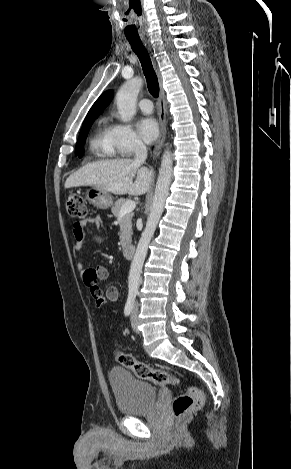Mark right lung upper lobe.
Here are the masks:
<instances>
[{
  "mask_svg": "<svg viewBox=\"0 0 291 469\" xmlns=\"http://www.w3.org/2000/svg\"><path fill=\"white\" fill-rule=\"evenodd\" d=\"M112 98H113V92L111 90L104 92L93 104L86 118H90V117L96 118L98 114L111 102Z\"/></svg>",
  "mask_w": 291,
  "mask_h": 469,
  "instance_id": "1",
  "label": "right lung upper lobe"
}]
</instances>
